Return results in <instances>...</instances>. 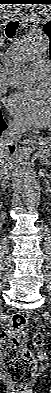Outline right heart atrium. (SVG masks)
Instances as JSON below:
<instances>
[{
  "mask_svg": "<svg viewBox=\"0 0 51 393\" xmlns=\"http://www.w3.org/2000/svg\"><path fill=\"white\" fill-rule=\"evenodd\" d=\"M10 126L16 131H20L22 129L21 125L15 120L10 122Z\"/></svg>",
  "mask_w": 51,
  "mask_h": 393,
  "instance_id": "1",
  "label": "right heart atrium"
}]
</instances>
